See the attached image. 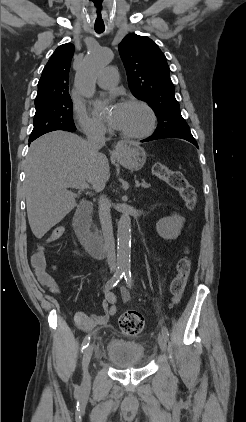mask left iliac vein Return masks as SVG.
Listing matches in <instances>:
<instances>
[{"label":"left iliac vein","instance_id":"left-iliac-vein-1","mask_svg":"<svg viewBox=\"0 0 246 422\" xmlns=\"http://www.w3.org/2000/svg\"><path fill=\"white\" fill-rule=\"evenodd\" d=\"M158 344L162 351L166 350L167 347V338L163 334L158 335Z\"/></svg>","mask_w":246,"mask_h":422}]
</instances>
